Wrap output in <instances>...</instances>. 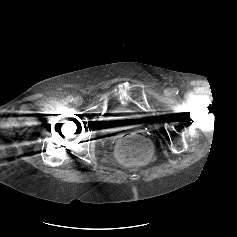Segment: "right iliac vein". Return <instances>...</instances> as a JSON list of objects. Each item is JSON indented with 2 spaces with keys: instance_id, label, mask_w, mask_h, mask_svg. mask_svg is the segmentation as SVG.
I'll use <instances>...</instances> for the list:
<instances>
[{
  "instance_id": "obj_1",
  "label": "right iliac vein",
  "mask_w": 237,
  "mask_h": 237,
  "mask_svg": "<svg viewBox=\"0 0 237 237\" xmlns=\"http://www.w3.org/2000/svg\"><path fill=\"white\" fill-rule=\"evenodd\" d=\"M83 103V99L79 96L75 97L74 98V104L77 105V106H81Z\"/></svg>"
}]
</instances>
